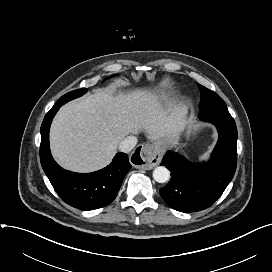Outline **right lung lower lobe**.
Here are the masks:
<instances>
[{
  "instance_id": "98d812e1",
  "label": "right lung lower lobe",
  "mask_w": 272,
  "mask_h": 272,
  "mask_svg": "<svg viewBox=\"0 0 272 272\" xmlns=\"http://www.w3.org/2000/svg\"><path fill=\"white\" fill-rule=\"evenodd\" d=\"M62 105L55 104L41 125L40 161L60 198L80 210L98 209L116 197L122 181L131 169L125 153H117L107 167L87 174L62 169L53 159L49 148V129L53 117Z\"/></svg>"
}]
</instances>
